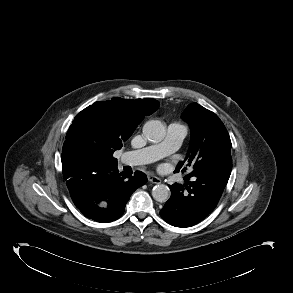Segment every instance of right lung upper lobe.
Instances as JSON below:
<instances>
[{
	"mask_svg": "<svg viewBox=\"0 0 293 293\" xmlns=\"http://www.w3.org/2000/svg\"><path fill=\"white\" fill-rule=\"evenodd\" d=\"M158 108L159 102L155 99L115 97L106 102H95L77 114L62 150L63 177L67 187L95 165L116 166L114 151L122 147V142L132 135L144 116L151 115ZM96 149L105 153V161L83 164L82 157Z\"/></svg>",
	"mask_w": 293,
	"mask_h": 293,
	"instance_id": "cb5924a9",
	"label": "right lung upper lobe"
}]
</instances>
